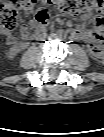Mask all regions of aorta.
<instances>
[{
	"label": "aorta",
	"mask_w": 104,
	"mask_h": 137,
	"mask_svg": "<svg viewBox=\"0 0 104 137\" xmlns=\"http://www.w3.org/2000/svg\"><path fill=\"white\" fill-rule=\"evenodd\" d=\"M56 39L57 40H64L65 39V32L63 31V30H58L57 32H56Z\"/></svg>",
	"instance_id": "aorta-1"
}]
</instances>
